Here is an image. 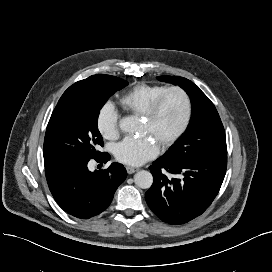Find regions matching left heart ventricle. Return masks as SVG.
<instances>
[{
    "label": "left heart ventricle",
    "instance_id": "obj_1",
    "mask_svg": "<svg viewBox=\"0 0 272 272\" xmlns=\"http://www.w3.org/2000/svg\"><path fill=\"white\" fill-rule=\"evenodd\" d=\"M184 101L180 94L170 93L152 120L145 119L142 133L161 145L181 124L184 117Z\"/></svg>",
    "mask_w": 272,
    "mask_h": 272
}]
</instances>
